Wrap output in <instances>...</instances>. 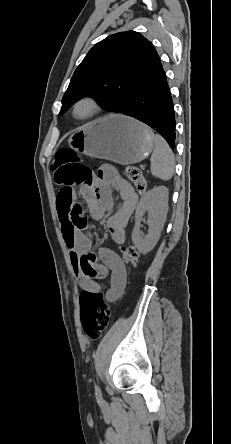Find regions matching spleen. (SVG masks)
Wrapping results in <instances>:
<instances>
[{"mask_svg": "<svg viewBox=\"0 0 231 444\" xmlns=\"http://www.w3.org/2000/svg\"><path fill=\"white\" fill-rule=\"evenodd\" d=\"M154 150L150 158L151 173L161 180H169L174 173V154L164 138L154 135Z\"/></svg>", "mask_w": 231, "mask_h": 444, "instance_id": "1", "label": "spleen"}]
</instances>
